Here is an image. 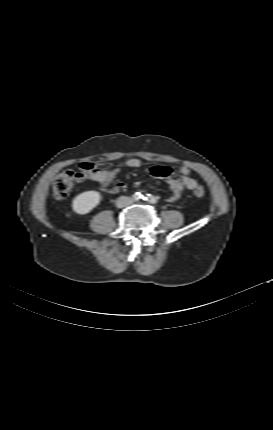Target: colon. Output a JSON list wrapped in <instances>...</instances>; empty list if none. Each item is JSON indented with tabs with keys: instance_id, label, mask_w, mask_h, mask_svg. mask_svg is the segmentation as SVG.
I'll use <instances>...</instances> for the list:
<instances>
[{
	"instance_id": "1",
	"label": "colon",
	"mask_w": 273,
	"mask_h": 430,
	"mask_svg": "<svg viewBox=\"0 0 273 430\" xmlns=\"http://www.w3.org/2000/svg\"><path fill=\"white\" fill-rule=\"evenodd\" d=\"M84 180V174L72 170L64 171L58 174L52 183L54 196L58 200L65 199L76 185ZM194 195L198 198L205 195V188L203 186H197L194 191Z\"/></svg>"
}]
</instances>
